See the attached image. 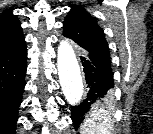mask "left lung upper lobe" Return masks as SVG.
I'll return each instance as SVG.
<instances>
[{
    "label": "left lung upper lobe",
    "instance_id": "obj_1",
    "mask_svg": "<svg viewBox=\"0 0 153 134\" xmlns=\"http://www.w3.org/2000/svg\"><path fill=\"white\" fill-rule=\"evenodd\" d=\"M63 29V35L85 49L87 54L110 62L108 43L103 29L85 9L76 5L71 6V10L65 17Z\"/></svg>",
    "mask_w": 153,
    "mask_h": 134
}]
</instances>
